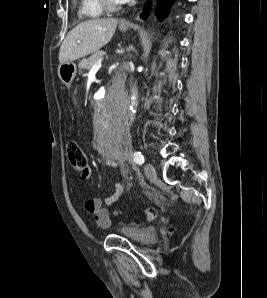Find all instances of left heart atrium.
Masks as SVG:
<instances>
[{"label":"left heart atrium","mask_w":267,"mask_h":298,"mask_svg":"<svg viewBox=\"0 0 267 298\" xmlns=\"http://www.w3.org/2000/svg\"><path fill=\"white\" fill-rule=\"evenodd\" d=\"M119 3H126V2H128V1H130V0H117Z\"/></svg>","instance_id":"obj_1"}]
</instances>
